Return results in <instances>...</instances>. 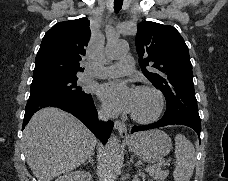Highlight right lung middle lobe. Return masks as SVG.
<instances>
[{
  "instance_id": "1",
  "label": "right lung middle lobe",
  "mask_w": 228,
  "mask_h": 181,
  "mask_svg": "<svg viewBox=\"0 0 228 181\" xmlns=\"http://www.w3.org/2000/svg\"><path fill=\"white\" fill-rule=\"evenodd\" d=\"M77 76L54 75L33 79L30 89V98L37 96H58L75 101H88L92 97L77 85Z\"/></svg>"
}]
</instances>
